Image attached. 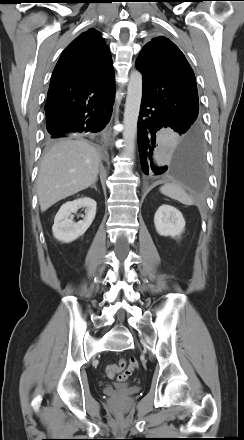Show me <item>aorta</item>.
I'll use <instances>...</instances> for the list:
<instances>
[{
  "instance_id": "1",
  "label": "aorta",
  "mask_w": 244,
  "mask_h": 440,
  "mask_svg": "<svg viewBox=\"0 0 244 440\" xmlns=\"http://www.w3.org/2000/svg\"><path fill=\"white\" fill-rule=\"evenodd\" d=\"M142 99V75L138 71L130 74L127 87V97L123 119V139L128 157L133 158L135 154V138L137 133V122L139 117Z\"/></svg>"
}]
</instances>
